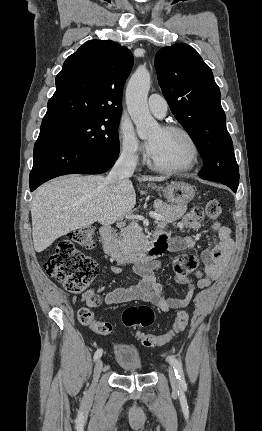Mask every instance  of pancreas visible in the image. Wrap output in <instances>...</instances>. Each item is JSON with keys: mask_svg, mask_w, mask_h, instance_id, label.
Here are the masks:
<instances>
[{"mask_svg": "<svg viewBox=\"0 0 262 431\" xmlns=\"http://www.w3.org/2000/svg\"><path fill=\"white\" fill-rule=\"evenodd\" d=\"M155 211L163 217L161 225L165 226L179 219L187 210L186 205H169L161 200L154 201ZM119 248L126 253H134L143 249L145 245L144 234L136 222L123 228L116 239Z\"/></svg>", "mask_w": 262, "mask_h": 431, "instance_id": "1", "label": "pancreas"}]
</instances>
